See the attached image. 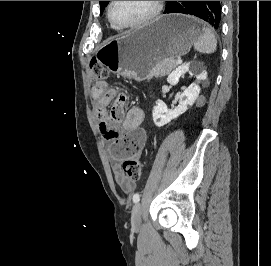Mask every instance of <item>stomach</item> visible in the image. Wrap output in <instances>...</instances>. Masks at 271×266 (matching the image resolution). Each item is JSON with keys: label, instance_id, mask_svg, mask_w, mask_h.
Masks as SVG:
<instances>
[{"label": "stomach", "instance_id": "0dacf381", "mask_svg": "<svg viewBox=\"0 0 271 266\" xmlns=\"http://www.w3.org/2000/svg\"><path fill=\"white\" fill-rule=\"evenodd\" d=\"M201 34V23L196 18L163 15L126 35L106 41L97 52V59L112 73L144 81L151 78L156 63L187 54Z\"/></svg>", "mask_w": 271, "mask_h": 266}]
</instances>
